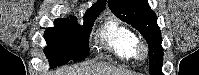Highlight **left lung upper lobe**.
I'll return each instance as SVG.
<instances>
[{
	"label": "left lung upper lobe",
	"mask_w": 199,
	"mask_h": 75,
	"mask_svg": "<svg viewBox=\"0 0 199 75\" xmlns=\"http://www.w3.org/2000/svg\"><path fill=\"white\" fill-rule=\"evenodd\" d=\"M111 11L121 20L136 28L148 42L151 75H163V48L156 14L147 0H108Z\"/></svg>",
	"instance_id": "obj_1"
}]
</instances>
